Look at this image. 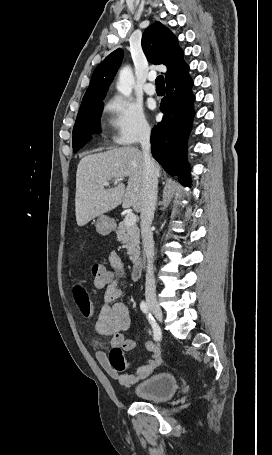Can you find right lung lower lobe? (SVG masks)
<instances>
[{"label":"right lung lower lobe","mask_w":272,"mask_h":455,"mask_svg":"<svg viewBox=\"0 0 272 455\" xmlns=\"http://www.w3.org/2000/svg\"><path fill=\"white\" fill-rule=\"evenodd\" d=\"M193 82L188 72L166 83L167 95L162 99L160 110L163 119L151 133L153 157L170 175L189 186V168L186 160L187 138L194 116Z\"/></svg>","instance_id":"obj_1"}]
</instances>
